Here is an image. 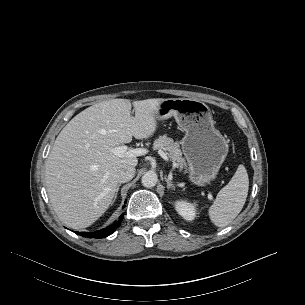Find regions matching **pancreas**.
Returning <instances> with one entry per match:
<instances>
[{
	"mask_svg": "<svg viewBox=\"0 0 305 305\" xmlns=\"http://www.w3.org/2000/svg\"><path fill=\"white\" fill-rule=\"evenodd\" d=\"M154 149L165 151L168 157L172 160L173 164L183 170L186 167V161L182 158V151L179 143L166 135L160 136L154 141Z\"/></svg>",
	"mask_w": 305,
	"mask_h": 305,
	"instance_id": "1",
	"label": "pancreas"
}]
</instances>
